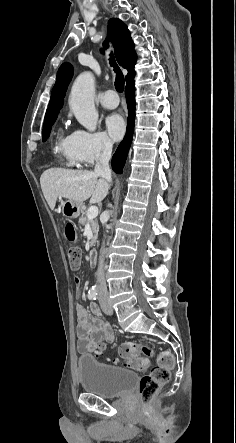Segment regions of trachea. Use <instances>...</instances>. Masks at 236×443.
<instances>
[{
	"label": "trachea",
	"mask_w": 236,
	"mask_h": 443,
	"mask_svg": "<svg viewBox=\"0 0 236 443\" xmlns=\"http://www.w3.org/2000/svg\"><path fill=\"white\" fill-rule=\"evenodd\" d=\"M110 65L114 68V71L116 73V80H115V88L118 92H123L124 90V76L117 65L115 58L113 54H110Z\"/></svg>",
	"instance_id": "3493384b"
}]
</instances>
